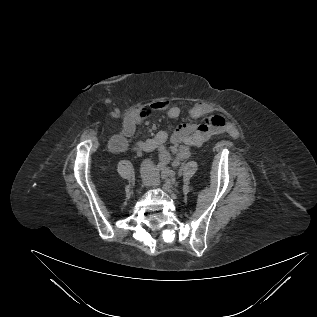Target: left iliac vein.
Instances as JSON below:
<instances>
[{
	"label": "left iliac vein",
	"instance_id": "left-iliac-vein-1",
	"mask_svg": "<svg viewBox=\"0 0 317 317\" xmlns=\"http://www.w3.org/2000/svg\"><path fill=\"white\" fill-rule=\"evenodd\" d=\"M173 165H176V163H173ZM152 176L158 177V176H159V171H158L157 169L154 170V171L152 172ZM172 176H173V172L171 171V172L169 173V177H172ZM163 189H164L166 192H171V190H170V185H169V184L164 185Z\"/></svg>",
	"mask_w": 317,
	"mask_h": 317
}]
</instances>
